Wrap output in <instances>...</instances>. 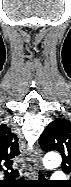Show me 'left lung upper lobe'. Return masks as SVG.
<instances>
[{
    "label": "left lung upper lobe",
    "instance_id": "obj_1",
    "mask_svg": "<svg viewBox=\"0 0 71 187\" xmlns=\"http://www.w3.org/2000/svg\"><path fill=\"white\" fill-rule=\"evenodd\" d=\"M43 151H58L61 153L62 170L71 172V122L66 119L52 121L39 138Z\"/></svg>",
    "mask_w": 71,
    "mask_h": 187
}]
</instances>
